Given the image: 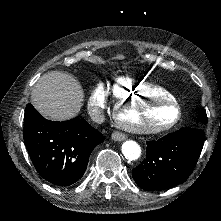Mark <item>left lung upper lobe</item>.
Listing matches in <instances>:
<instances>
[{"label": "left lung upper lobe", "mask_w": 221, "mask_h": 221, "mask_svg": "<svg viewBox=\"0 0 221 221\" xmlns=\"http://www.w3.org/2000/svg\"><path fill=\"white\" fill-rule=\"evenodd\" d=\"M200 121L204 124L207 123V115H206V110L202 109L200 112Z\"/></svg>", "instance_id": "left-lung-upper-lobe-1"}]
</instances>
